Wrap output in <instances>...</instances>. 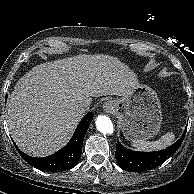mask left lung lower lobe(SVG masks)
<instances>
[{"instance_id":"0a47b994","label":"left lung lower lobe","mask_w":194,"mask_h":194,"mask_svg":"<svg viewBox=\"0 0 194 194\" xmlns=\"http://www.w3.org/2000/svg\"><path fill=\"white\" fill-rule=\"evenodd\" d=\"M187 127L185 128L182 137L176 141L174 144L166 149L155 151V152H137L132 151L119 142L116 144L115 157L117 159L118 165L126 171L129 172H143L156 168L169 157H171L181 146L183 139L186 134Z\"/></svg>"}]
</instances>
